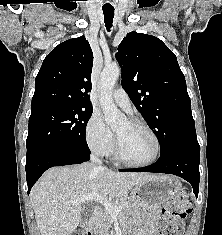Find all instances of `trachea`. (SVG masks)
<instances>
[{
	"instance_id": "trachea-1",
	"label": "trachea",
	"mask_w": 222,
	"mask_h": 235,
	"mask_svg": "<svg viewBox=\"0 0 222 235\" xmlns=\"http://www.w3.org/2000/svg\"><path fill=\"white\" fill-rule=\"evenodd\" d=\"M104 22L106 29L110 32L114 18V8H103Z\"/></svg>"
}]
</instances>
